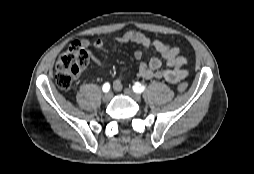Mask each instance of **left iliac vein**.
I'll return each mask as SVG.
<instances>
[{"mask_svg": "<svg viewBox=\"0 0 254 174\" xmlns=\"http://www.w3.org/2000/svg\"><path fill=\"white\" fill-rule=\"evenodd\" d=\"M124 93H125L126 95H128L129 97H131L133 100L137 101V102L141 101V99H142V97H141L140 94L133 92V91H132L131 89H129V88H125V89H124Z\"/></svg>", "mask_w": 254, "mask_h": 174, "instance_id": "1", "label": "left iliac vein"}]
</instances>
